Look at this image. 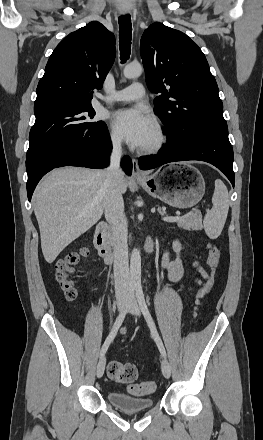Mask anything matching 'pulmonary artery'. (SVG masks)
<instances>
[{"label":"pulmonary artery","mask_w":263,"mask_h":440,"mask_svg":"<svg viewBox=\"0 0 263 440\" xmlns=\"http://www.w3.org/2000/svg\"><path fill=\"white\" fill-rule=\"evenodd\" d=\"M145 95V88L142 83L135 82L130 86L113 92L110 96L104 97V101L120 102V101H134L143 98Z\"/></svg>","instance_id":"pulmonary-artery-1"}]
</instances>
